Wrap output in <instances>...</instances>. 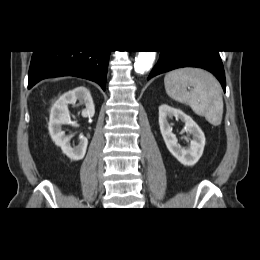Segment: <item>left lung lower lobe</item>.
<instances>
[{
  "label": "left lung lower lobe",
  "mask_w": 260,
  "mask_h": 260,
  "mask_svg": "<svg viewBox=\"0 0 260 260\" xmlns=\"http://www.w3.org/2000/svg\"><path fill=\"white\" fill-rule=\"evenodd\" d=\"M182 67H197L210 71L219 80L224 91L226 90L224 68L217 50L161 51L158 63L148 79Z\"/></svg>",
  "instance_id": "1"
}]
</instances>
